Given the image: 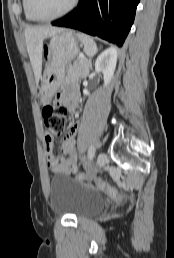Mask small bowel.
<instances>
[{"label":"small bowel","mask_w":174,"mask_h":258,"mask_svg":"<svg viewBox=\"0 0 174 258\" xmlns=\"http://www.w3.org/2000/svg\"><path fill=\"white\" fill-rule=\"evenodd\" d=\"M57 100L65 105L70 112L78 113L77 87L75 84L69 85L62 94L58 95ZM77 130V125L71 126L62 142L61 149L67 157L54 154L52 137L48 132L45 134L46 161L52 173L72 174L78 171V155L75 147Z\"/></svg>","instance_id":"obj_1"}]
</instances>
